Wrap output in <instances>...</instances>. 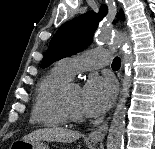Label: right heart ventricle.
<instances>
[{"instance_id": "e07e8e85", "label": "right heart ventricle", "mask_w": 155, "mask_h": 149, "mask_svg": "<svg viewBox=\"0 0 155 149\" xmlns=\"http://www.w3.org/2000/svg\"><path fill=\"white\" fill-rule=\"evenodd\" d=\"M58 66L53 67L36 87L31 112V122L45 127H59L67 123L60 106V92L70 81Z\"/></svg>"}]
</instances>
